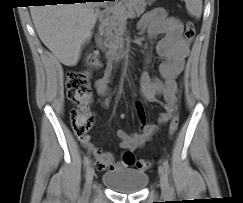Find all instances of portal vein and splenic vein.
Segmentation results:
<instances>
[{"instance_id": "18ae733b", "label": "portal vein and splenic vein", "mask_w": 243, "mask_h": 203, "mask_svg": "<svg viewBox=\"0 0 243 203\" xmlns=\"http://www.w3.org/2000/svg\"><path fill=\"white\" fill-rule=\"evenodd\" d=\"M101 4H102V3H101ZM112 10H115V11L120 12V13L122 14V17L124 18V20L127 19V18H133V17H134V16H133V13H130V12H126V13H124V10L121 9L120 7H117L116 5H114V6L112 7Z\"/></svg>"}]
</instances>
